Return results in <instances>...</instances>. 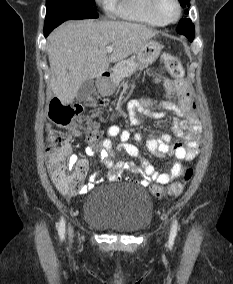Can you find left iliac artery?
Listing matches in <instances>:
<instances>
[{"label": "left iliac artery", "mask_w": 233, "mask_h": 284, "mask_svg": "<svg viewBox=\"0 0 233 284\" xmlns=\"http://www.w3.org/2000/svg\"><path fill=\"white\" fill-rule=\"evenodd\" d=\"M177 233V221H173L172 229H171V236L175 237Z\"/></svg>", "instance_id": "left-iliac-artery-1"}]
</instances>
